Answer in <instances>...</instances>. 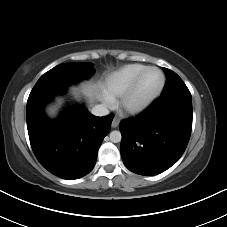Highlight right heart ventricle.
<instances>
[{
  "mask_svg": "<svg viewBox=\"0 0 227 227\" xmlns=\"http://www.w3.org/2000/svg\"><path fill=\"white\" fill-rule=\"evenodd\" d=\"M146 67L147 66L143 64L132 63L124 65L109 73L103 82L104 94L112 100L122 97L137 75Z\"/></svg>",
  "mask_w": 227,
  "mask_h": 227,
  "instance_id": "obj_1",
  "label": "right heart ventricle"
}]
</instances>
